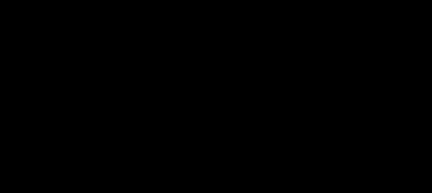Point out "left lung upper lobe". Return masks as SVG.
Listing matches in <instances>:
<instances>
[{
  "mask_svg": "<svg viewBox=\"0 0 432 193\" xmlns=\"http://www.w3.org/2000/svg\"><path fill=\"white\" fill-rule=\"evenodd\" d=\"M259 45L267 59L268 81L264 92L247 109L281 106L305 111L307 97L294 55L272 37L260 40Z\"/></svg>",
  "mask_w": 432,
  "mask_h": 193,
  "instance_id": "obj_1",
  "label": "left lung upper lobe"
}]
</instances>
